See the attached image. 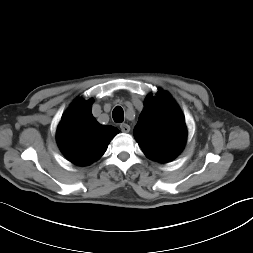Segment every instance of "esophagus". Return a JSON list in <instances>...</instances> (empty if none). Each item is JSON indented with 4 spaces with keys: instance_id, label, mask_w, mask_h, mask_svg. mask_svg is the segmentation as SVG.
I'll use <instances>...</instances> for the list:
<instances>
[{
    "instance_id": "1",
    "label": "esophagus",
    "mask_w": 253,
    "mask_h": 253,
    "mask_svg": "<svg viewBox=\"0 0 253 253\" xmlns=\"http://www.w3.org/2000/svg\"><path fill=\"white\" fill-rule=\"evenodd\" d=\"M120 129L124 133H128L130 131V126L126 123L120 124Z\"/></svg>"
}]
</instances>
